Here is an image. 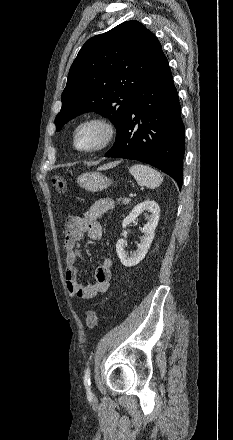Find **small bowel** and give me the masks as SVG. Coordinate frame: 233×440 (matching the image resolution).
<instances>
[{
  "instance_id": "small-bowel-1",
  "label": "small bowel",
  "mask_w": 233,
  "mask_h": 440,
  "mask_svg": "<svg viewBox=\"0 0 233 440\" xmlns=\"http://www.w3.org/2000/svg\"><path fill=\"white\" fill-rule=\"evenodd\" d=\"M114 208L111 198L97 200L88 210L81 214L68 217L65 227L64 248L66 251V287L70 295L79 299H93L109 289L113 261L110 257H104L95 270L94 282L83 285L78 282V260L82 258L79 250V241L85 233L94 241L102 237V226L99 218Z\"/></svg>"
}]
</instances>
